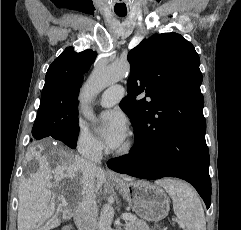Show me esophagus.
I'll return each instance as SVG.
<instances>
[{
  "label": "esophagus",
  "instance_id": "34e87169",
  "mask_svg": "<svg viewBox=\"0 0 241 230\" xmlns=\"http://www.w3.org/2000/svg\"><path fill=\"white\" fill-rule=\"evenodd\" d=\"M107 172H108V174L110 175V176H116V174H115V172H113V171H111V170H107Z\"/></svg>",
  "mask_w": 241,
  "mask_h": 230
}]
</instances>
